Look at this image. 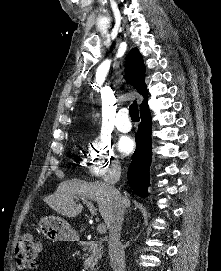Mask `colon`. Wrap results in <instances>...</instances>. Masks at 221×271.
Listing matches in <instances>:
<instances>
[{
  "label": "colon",
  "mask_w": 221,
  "mask_h": 271,
  "mask_svg": "<svg viewBox=\"0 0 221 271\" xmlns=\"http://www.w3.org/2000/svg\"><path fill=\"white\" fill-rule=\"evenodd\" d=\"M42 244L31 234H23L16 243L15 261L21 269H31L39 266V256Z\"/></svg>",
  "instance_id": "5ec220e1"
}]
</instances>
